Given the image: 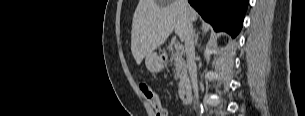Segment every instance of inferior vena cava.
I'll return each mask as SVG.
<instances>
[{
    "label": "inferior vena cava",
    "mask_w": 305,
    "mask_h": 116,
    "mask_svg": "<svg viewBox=\"0 0 305 116\" xmlns=\"http://www.w3.org/2000/svg\"><path fill=\"white\" fill-rule=\"evenodd\" d=\"M189 4L187 0H183V7L186 10ZM185 52L187 58V67L194 91V103L198 104V84H197V70L195 63V40L193 32V24L190 19L186 22V35H185Z\"/></svg>",
    "instance_id": "602c4592"
}]
</instances>
